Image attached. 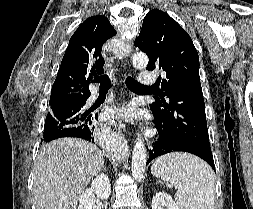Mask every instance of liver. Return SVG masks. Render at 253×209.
Here are the masks:
<instances>
[{"instance_id":"1","label":"liver","mask_w":253,"mask_h":209,"mask_svg":"<svg viewBox=\"0 0 253 209\" xmlns=\"http://www.w3.org/2000/svg\"><path fill=\"white\" fill-rule=\"evenodd\" d=\"M104 167L92 143L63 138L44 144L34 167L36 209H76L79 195Z\"/></svg>"}]
</instances>
